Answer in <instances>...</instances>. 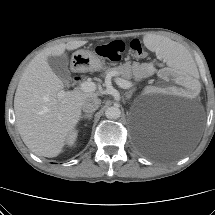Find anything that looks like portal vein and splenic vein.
<instances>
[{"instance_id": "obj_1", "label": "portal vein and splenic vein", "mask_w": 215, "mask_h": 215, "mask_svg": "<svg viewBox=\"0 0 215 215\" xmlns=\"http://www.w3.org/2000/svg\"><path fill=\"white\" fill-rule=\"evenodd\" d=\"M116 83L117 85H119L121 88H124V89H128L133 86L131 82L124 80L122 78H117ZM79 89L84 92H92L96 90V84L94 82L83 81L80 83ZM58 96L59 97L64 96V92L63 91L59 92Z\"/></svg>"}]
</instances>
